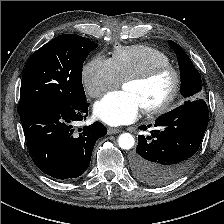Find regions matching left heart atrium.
I'll use <instances>...</instances> for the list:
<instances>
[{"instance_id":"left-heart-atrium-1","label":"left heart atrium","mask_w":224,"mask_h":224,"mask_svg":"<svg viewBox=\"0 0 224 224\" xmlns=\"http://www.w3.org/2000/svg\"><path fill=\"white\" fill-rule=\"evenodd\" d=\"M141 109L138 97L128 91L108 93L94 106L96 116L111 126L133 122L137 119Z\"/></svg>"}]
</instances>
